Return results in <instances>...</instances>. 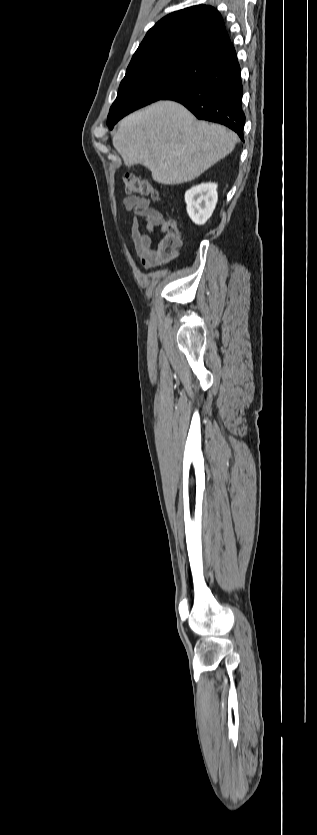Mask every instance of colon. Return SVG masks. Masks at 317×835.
Here are the masks:
<instances>
[{"mask_svg":"<svg viewBox=\"0 0 317 835\" xmlns=\"http://www.w3.org/2000/svg\"><path fill=\"white\" fill-rule=\"evenodd\" d=\"M124 184L127 193L150 196L156 201L161 199V194L157 189L153 188L147 180L134 174H126L124 176ZM164 233L158 245V251L165 258L171 259L175 257L178 249L182 245V234L177 224L172 220L166 222Z\"/></svg>","mask_w":317,"mask_h":835,"instance_id":"1","label":"colon"}]
</instances>
